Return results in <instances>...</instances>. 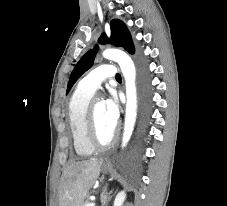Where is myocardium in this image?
Returning a JSON list of instances; mask_svg holds the SVG:
<instances>
[{
    "label": "myocardium",
    "instance_id": "1",
    "mask_svg": "<svg viewBox=\"0 0 227 206\" xmlns=\"http://www.w3.org/2000/svg\"><path fill=\"white\" fill-rule=\"evenodd\" d=\"M98 99H94L90 102L87 111V120H86V134L87 139L92 147L96 149H107L111 147L118 138V130L115 129L110 140L107 142H102L97 134V127H96V116H95V105Z\"/></svg>",
    "mask_w": 227,
    "mask_h": 206
}]
</instances>
